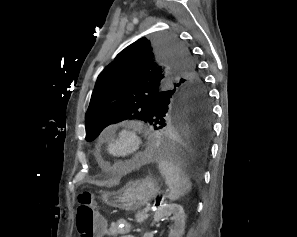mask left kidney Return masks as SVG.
Instances as JSON below:
<instances>
[{"mask_svg":"<svg viewBox=\"0 0 297 237\" xmlns=\"http://www.w3.org/2000/svg\"><path fill=\"white\" fill-rule=\"evenodd\" d=\"M171 216L174 222L173 229L169 232V237H182L185 230V212L179 204H163L154 214L152 226L162 218ZM143 237H153L151 233H145Z\"/></svg>","mask_w":297,"mask_h":237,"instance_id":"obj_1","label":"left kidney"}]
</instances>
